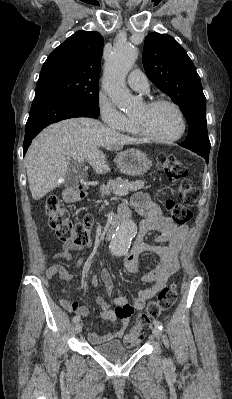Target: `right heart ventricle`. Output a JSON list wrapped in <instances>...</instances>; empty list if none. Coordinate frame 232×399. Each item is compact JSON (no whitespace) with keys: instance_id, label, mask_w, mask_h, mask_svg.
<instances>
[{"instance_id":"right-heart-ventricle-1","label":"right heart ventricle","mask_w":232,"mask_h":399,"mask_svg":"<svg viewBox=\"0 0 232 399\" xmlns=\"http://www.w3.org/2000/svg\"><path fill=\"white\" fill-rule=\"evenodd\" d=\"M120 131H122L123 133L129 134V135H132L134 137H138L139 136L137 134L136 130H135L133 122L130 121V120L128 121V123Z\"/></svg>"}]
</instances>
